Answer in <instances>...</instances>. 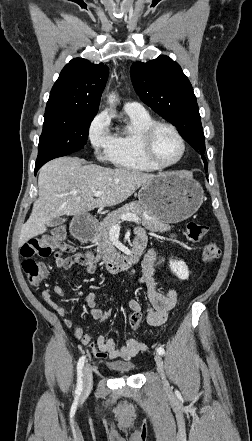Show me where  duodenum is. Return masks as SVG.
<instances>
[{
  "mask_svg": "<svg viewBox=\"0 0 252 441\" xmlns=\"http://www.w3.org/2000/svg\"><path fill=\"white\" fill-rule=\"evenodd\" d=\"M95 219L91 218L89 221H75L71 225V232L73 236L79 240H90L94 235L92 224ZM143 251V246H134L131 252L125 256L112 257L105 259V267L111 273H116L120 270L126 269L135 264ZM87 258H94L92 254H86Z\"/></svg>",
  "mask_w": 252,
  "mask_h": 441,
  "instance_id": "1",
  "label": "duodenum"
}]
</instances>
